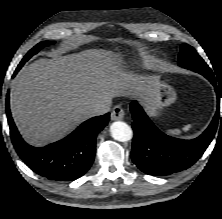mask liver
<instances>
[{"label":"liver","instance_id":"6515ba94","mask_svg":"<svg viewBox=\"0 0 222 219\" xmlns=\"http://www.w3.org/2000/svg\"><path fill=\"white\" fill-rule=\"evenodd\" d=\"M154 78L126 72L117 54L89 49L38 59L11 82L10 107L23 138L41 146L91 117L96 104L131 95L145 102Z\"/></svg>","mask_w":222,"mask_h":219}]
</instances>
